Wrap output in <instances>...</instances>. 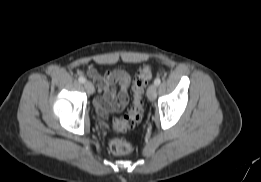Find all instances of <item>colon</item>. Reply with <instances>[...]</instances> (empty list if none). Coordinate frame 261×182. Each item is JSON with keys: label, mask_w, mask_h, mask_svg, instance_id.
I'll list each match as a JSON object with an SVG mask.
<instances>
[{"label": "colon", "mask_w": 261, "mask_h": 182, "mask_svg": "<svg viewBox=\"0 0 261 182\" xmlns=\"http://www.w3.org/2000/svg\"><path fill=\"white\" fill-rule=\"evenodd\" d=\"M152 77L150 65L141 66L132 82V104L128 112L120 119L113 122V128L118 132H124L134 128L143 117L145 87ZM109 151L115 155H127L132 152V146L124 139L113 137L108 142Z\"/></svg>", "instance_id": "obj_1"}]
</instances>
